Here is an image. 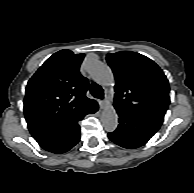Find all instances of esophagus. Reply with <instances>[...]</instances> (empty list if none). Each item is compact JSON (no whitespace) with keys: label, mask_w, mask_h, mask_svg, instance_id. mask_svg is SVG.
Returning <instances> with one entry per match:
<instances>
[{"label":"esophagus","mask_w":194,"mask_h":193,"mask_svg":"<svg viewBox=\"0 0 194 193\" xmlns=\"http://www.w3.org/2000/svg\"><path fill=\"white\" fill-rule=\"evenodd\" d=\"M107 103H108V102H107L106 99H105V100H100V101H99V105H100L101 108L105 107V105H107Z\"/></svg>","instance_id":"obj_1"}]
</instances>
